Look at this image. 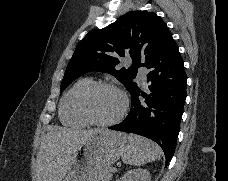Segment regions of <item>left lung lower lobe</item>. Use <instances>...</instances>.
<instances>
[{
    "label": "left lung lower lobe",
    "instance_id": "left-lung-lower-lobe-1",
    "mask_svg": "<svg viewBox=\"0 0 228 181\" xmlns=\"http://www.w3.org/2000/svg\"><path fill=\"white\" fill-rule=\"evenodd\" d=\"M150 70L148 89L136 84L129 92L131 110L119 124L109 129L130 132L158 143L170 162L179 133L186 99V75L178 46L172 37L145 63Z\"/></svg>",
    "mask_w": 228,
    "mask_h": 181
}]
</instances>
